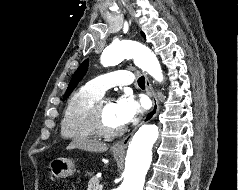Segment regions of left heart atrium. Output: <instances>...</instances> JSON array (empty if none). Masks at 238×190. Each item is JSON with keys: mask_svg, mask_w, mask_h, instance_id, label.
Wrapping results in <instances>:
<instances>
[{"mask_svg": "<svg viewBox=\"0 0 238 190\" xmlns=\"http://www.w3.org/2000/svg\"><path fill=\"white\" fill-rule=\"evenodd\" d=\"M144 108V102L138 101L131 94H125L117 101L118 115L124 124L135 120L144 111Z\"/></svg>", "mask_w": 238, "mask_h": 190, "instance_id": "39dd6f15", "label": "left heart atrium"}]
</instances>
